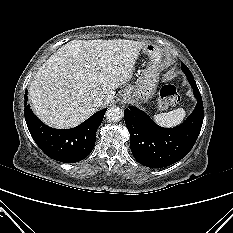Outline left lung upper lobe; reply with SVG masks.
Instances as JSON below:
<instances>
[{
    "instance_id": "1",
    "label": "left lung upper lobe",
    "mask_w": 233,
    "mask_h": 233,
    "mask_svg": "<svg viewBox=\"0 0 233 233\" xmlns=\"http://www.w3.org/2000/svg\"><path fill=\"white\" fill-rule=\"evenodd\" d=\"M181 68L187 77H193L192 73L183 62H181Z\"/></svg>"
}]
</instances>
